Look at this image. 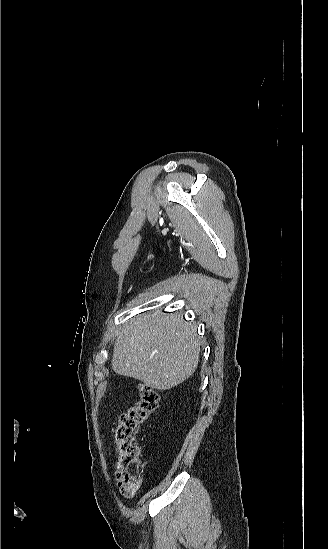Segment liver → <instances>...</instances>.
Returning <instances> with one entry per match:
<instances>
[{
    "instance_id": "6515ba94",
    "label": "liver",
    "mask_w": 328,
    "mask_h": 549,
    "mask_svg": "<svg viewBox=\"0 0 328 549\" xmlns=\"http://www.w3.org/2000/svg\"><path fill=\"white\" fill-rule=\"evenodd\" d=\"M197 325L181 315H141L116 333L112 369L145 387L167 391L189 379L199 363Z\"/></svg>"
}]
</instances>
